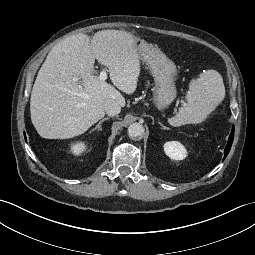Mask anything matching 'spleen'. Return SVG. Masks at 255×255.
Returning a JSON list of instances; mask_svg holds the SVG:
<instances>
[{
  "label": "spleen",
  "mask_w": 255,
  "mask_h": 255,
  "mask_svg": "<svg viewBox=\"0 0 255 255\" xmlns=\"http://www.w3.org/2000/svg\"><path fill=\"white\" fill-rule=\"evenodd\" d=\"M225 87L221 75L216 70H208L200 74V78L192 80L186 94L187 103L169 122L178 127L185 124H199L224 99Z\"/></svg>",
  "instance_id": "1"
}]
</instances>
